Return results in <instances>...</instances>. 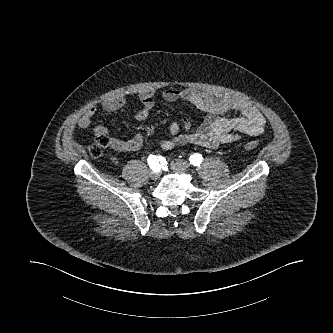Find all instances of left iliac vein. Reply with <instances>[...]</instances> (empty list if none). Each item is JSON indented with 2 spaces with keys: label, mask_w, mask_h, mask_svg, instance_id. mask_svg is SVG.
Here are the masks:
<instances>
[{
  "label": "left iliac vein",
  "mask_w": 333,
  "mask_h": 333,
  "mask_svg": "<svg viewBox=\"0 0 333 333\" xmlns=\"http://www.w3.org/2000/svg\"><path fill=\"white\" fill-rule=\"evenodd\" d=\"M171 168L178 173H186L189 171V164L182 160H175L171 162Z\"/></svg>",
  "instance_id": "obj_1"
}]
</instances>
